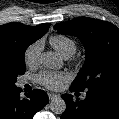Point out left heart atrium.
Returning <instances> with one entry per match:
<instances>
[{
  "mask_svg": "<svg viewBox=\"0 0 119 119\" xmlns=\"http://www.w3.org/2000/svg\"><path fill=\"white\" fill-rule=\"evenodd\" d=\"M70 79L66 72H56L51 70H42L37 76L36 81L49 89H59L65 82Z\"/></svg>",
  "mask_w": 119,
  "mask_h": 119,
  "instance_id": "left-heart-atrium-1",
  "label": "left heart atrium"
}]
</instances>
